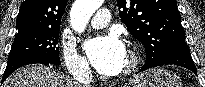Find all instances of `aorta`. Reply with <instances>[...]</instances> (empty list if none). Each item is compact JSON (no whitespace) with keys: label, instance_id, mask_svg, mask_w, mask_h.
<instances>
[{"label":"aorta","instance_id":"obj_1","mask_svg":"<svg viewBox=\"0 0 205 87\" xmlns=\"http://www.w3.org/2000/svg\"><path fill=\"white\" fill-rule=\"evenodd\" d=\"M103 4V0H75L70 10V22L77 33L84 32L95 11Z\"/></svg>","mask_w":205,"mask_h":87}]
</instances>
